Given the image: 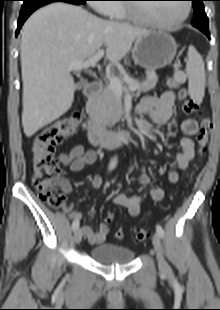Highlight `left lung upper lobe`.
I'll return each instance as SVG.
<instances>
[{"label":"left lung upper lobe","instance_id":"1","mask_svg":"<svg viewBox=\"0 0 220 310\" xmlns=\"http://www.w3.org/2000/svg\"><path fill=\"white\" fill-rule=\"evenodd\" d=\"M194 7V18L192 25L201 31H208V18L204 11L203 1L205 0H191Z\"/></svg>","mask_w":220,"mask_h":310}]
</instances>
